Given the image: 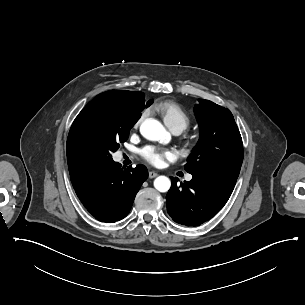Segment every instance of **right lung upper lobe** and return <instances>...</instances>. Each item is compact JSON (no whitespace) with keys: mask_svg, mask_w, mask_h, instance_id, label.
<instances>
[{"mask_svg":"<svg viewBox=\"0 0 305 305\" xmlns=\"http://www.w3.org/2000/svg\"><path fill=\"white\" fill-rule=\"evenodd\" d=\"M142 92L110 90L97 95L76 117L67 139V162L69 171L84 166L75 158L74 130L78 120L85 112H90L97 120H109L119 115L137 116L145 106Z\"/></svg>","mask_w":305,"mask_h":305,"instance_id":"cb5924a9","label":"right lung upper lobe"}]
</instances>
